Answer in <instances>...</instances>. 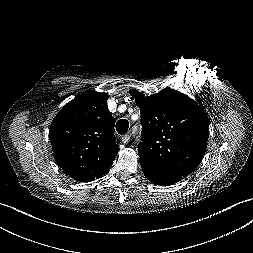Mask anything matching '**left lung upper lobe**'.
Instances as JSON below:
<instances>
[{
	"mask_svg": "<svg viewBox=\"0 0 253 253\" xmlns=\"http://www.w3.org/2000/svg\"><path fill=\"white\" fill-rule=\"evenodd\" d=\"M129 93L141 113L140 160L158 171L189 175L207 147L209 121L203 107L171 88L151 96L136 89Z\"/></svg>",
	"mask_w": 253,
	"mask_h": 253,
	"instance_id": "left-lung-upper-lobe-1",
	"label": "left lung upper lobe"
}]
</instances>
